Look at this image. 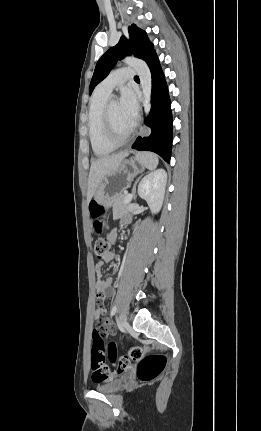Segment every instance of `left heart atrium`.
<instances>
[{
	"mask_svg": "<svg viewBox=\"0 0 261 431\" xmlns=\"http://www.w3.org/2000/svg\"><path fill=\"white\" fill-rule=\"evenodd\" d=\"M119 107L127 123L133 127L137 121L138 102L135 93L131 89L125 88L122 90Z\"/></svg>",
	"mask_w": 261,
	"mask_h": 431,
	"instance_id": "1",
	"label": "left heart atrium"
}]
</instances>
